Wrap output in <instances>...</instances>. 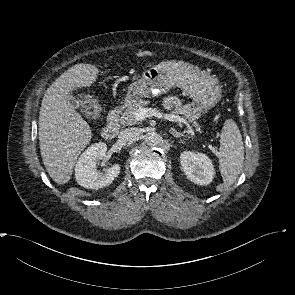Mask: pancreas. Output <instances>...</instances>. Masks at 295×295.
Returning <instances> with one entry per match:
<instances>
[{"mask_svg":"<svg viewBox=\"0 0 295 295\" xmlns=\"http://www.w3.org/2000/svg\"><path fill=\"white\" fill-rule=\"evenodd\" d=\"M150 104L149 100H137L130 103L125 111L121 114L119 119L121 125H135L139 121L134 117V113L137 109L143 108ZM175 114H180L184 117L186 122L193 123L194 126H197L196 120L199 118L200 114L197 108L192 104H185L182 106H177L174 110Z\"/></svg>","mask_w":295,"mask_h":295,"instance_id":"cf45deb5","label":"pancreas"}]
</instances>
